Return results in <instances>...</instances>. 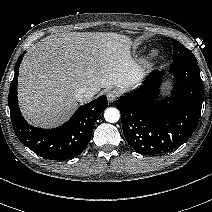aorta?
<instances>
[{"label":"aorta","mask_w":212,"mask_h":212,"mask_svg":"<svg viewBox=\"0 0 212 212\" xmlns=\"http://www.w3.org/2000/svg\"><path fill=\"white\" fill-rule=\"evenodd\" d=\"M104 118L109 123H116L120 119V112L114 107L106 108L104 111Z\"/></svg>","instance_id":"762f6f07"}]
</instances>
